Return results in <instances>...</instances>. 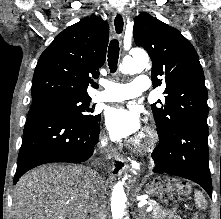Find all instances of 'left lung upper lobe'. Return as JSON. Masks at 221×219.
Returning <instances> with one entry per match:
<instances>
[{
  "instance_id": "1",
  "label": "left lung upper lobe",
  "mask_w": 221,
  "mask_h": 219,
  "mask_svg": "<svg viewBox=\"0 0 221 219\" xmlns=\"http://www.w3.org/2000/svg\"><path fill=\"white\" fill-rule=\"evenodd\" d=\"M133 35L136 45L152 59L154 86L166 85L165 101L157 102L162 106L151 105L158 134L163 136L183 123L208 128L207 88L192 44L177 29L146 12L135 18Z\"/></svg>"
}]
</instances>
